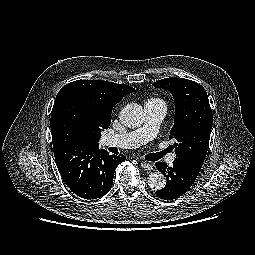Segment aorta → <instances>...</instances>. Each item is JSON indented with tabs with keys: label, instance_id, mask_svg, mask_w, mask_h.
Returning <instances> with one entry per match:
<instances>
[{
	"label": "aorta",
	"instance_id": "aorta-1",
	"mask_svg": "<svg viewBox=\"0 0 255 255\" xmlns=\"http://www.w3.org/2000/svg\"><path fill=\"white\" fill-rule=\"evenodd\" d=\"M119 120L126 127L140 126L144 121L142 106L137 103L127 104L121 110ZM147 183L152 190H161L165 187L166 178L160 172H153L148 176Z\"/></svg>",
	"mask_w": 255,
	"mask_h": 255
}]
</instances>
